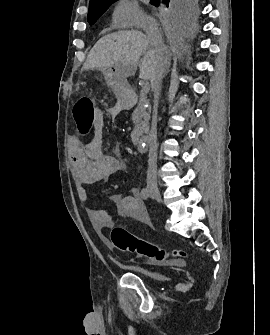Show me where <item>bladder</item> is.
<instances>
[{
	"label": "bladder",
	"instance_id": "obj_1",
	"mask_svg": "<svg viewBox=\"0 0 270 335\" xmlns=\"http://www.w3.org/2000/svg\"><path fill=\"white\" fill-rule=\"evenodd\" d=\"M141 274L143 275H148L149 278L151 279H156V280H165V275L163 273H156V272H149L147 273V271H143L141 272Z\"/></svg>",
	"mask_w": 270,
	"mask_h": 335
}]
</instances>
